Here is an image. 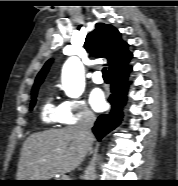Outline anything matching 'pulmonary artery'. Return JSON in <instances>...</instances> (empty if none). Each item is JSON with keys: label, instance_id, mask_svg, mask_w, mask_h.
<instances>
[{"label": "pulmonary artery", "instance_id": "e3ab8cb5", "mask_svg": "<svg viewBox=\"0 0 178 186\" xmlns=\"http://www.w3.org/2000/svg\"><path fill=\"white\" fill-rule=\"evenodd\" d=\"M92 80H93L95 83H97V84L102 83V82H103V78H102L101 73H100L99 71L94 72V73L92 74Z\"/></svg>", "mask_w": 178, "mask_h": 186}]
</instances>
